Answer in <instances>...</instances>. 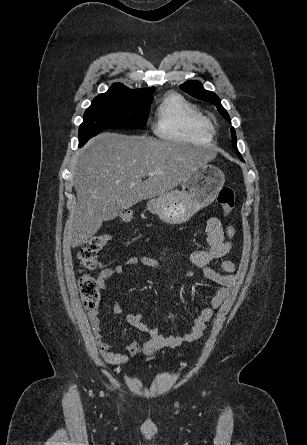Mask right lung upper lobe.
I'll return each mask as SVG.
<instances>
[{
	"mask_svg": "<svg viewBox=\"0 0 307 445\" xmlns=\"http://www.w3.org/2000/svg\"><path fill=\"white\" fill-rule=\"evenodd\" d=\"M154 91V87L131 90L123 84L116 83L113 84V86L106 93L100 95L128 97L139 100H153L152 94Z\"/></svg>",
	"mask_w": 307,
	"mask_h": 445,
	"instance_id": "right-lung-upper-lobe-1",
	"label": "right lung upper lobe"
}]
</instances>
